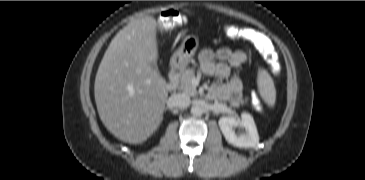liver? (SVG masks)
Wrapping results in <instances>:
<instances>
[{"mask_svg": "<svg viewBox=\"0 0 365 180\" xmlns=\"http://www.w3.org/2000/svg\"><path fill=\"white\" fill-rule=\"evenodd\" d=\"M156 20L130 21L112 39L94 85L99 117L116 138L139 144L160 126L167 83L152 67L158 59Z\"/></svg>", "mask_w": 365, "mask_h": 180, "instance_id": "1", "label": "liver"}]
</instances>
